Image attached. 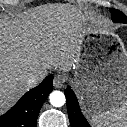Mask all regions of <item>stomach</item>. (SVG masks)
Returning <instances> with one entry per match:
<instances>
[{
    "mask_svg": "<svg viewBox=\"0 0 127 127\" xmlns=\"http://www.w3.org/2000/svg\"><path fill=\"white\" fill-rule=\"evenodd\" d=\"M72 85L89 113L105 112L127 99V54L110 48L106 38L84 27Z\"/></svg>",
    "mask_w": 127,
    "mask_h": 127,
    "instance_id": "obj_1",
    "label": "stomach"
}]
</instances>
